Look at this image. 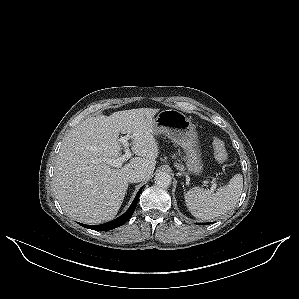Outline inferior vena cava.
Returning <instances> with one entry per match:
<instances>
[{"label":"inferior vena cava","instance_id":"inferior-vena-cava-1","mask_svg":"<svg viewBox=\"0 0 299 299\" xmlns=\"http://www.w3.org/2000/svg\"><path fill=\"white\" fill-rule=\"evenodd\" d=\"M145 176H146L145 171L141 169H135L129 172L127 178L128 181L131 183H138L143 181L145 179Z\"/></svg>","mask_w":299,"mask_h":299}]
</instances>
